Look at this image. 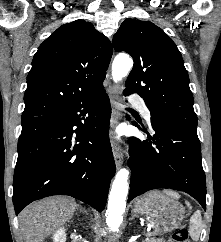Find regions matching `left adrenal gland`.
Wrapping results in <instances>:
<instances>
[{"label": "left adrenal gland", "instance_id": "obj_1", "mask_svg": "<svg viewBox=\"0 0 221 242\" xmlns=\"http://www.w3.org/2000/svg\"><path fill=\"white\" fill-rule=\"evenodd\" d=\"M135 217H137V214L135 211L132 212V217L130 218V220H133Z\"/></svg>", "mask_w": 221, "mask_h": 242}]
</instances>
